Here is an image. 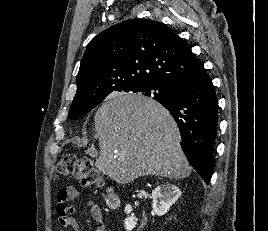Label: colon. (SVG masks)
Here are the masks:
<instances>
[{
    "mask_svg": "<svg viewBox=\"0 0 268 231\" xmlns=\"http://www.w3.org/2000/svg\"><path fill=\"white\" fill-rule=\"evenodd\" d=\"M57 177H70L75 175L84 186L93 187L100 184L99 172L86 158H78L69 154L63 156L56 164Z\"/></svg>",
    "mask_w": 268,
    "mask_h": 231,
    "instance_id": "1",
    "label": "colon"
}]
</instances>
